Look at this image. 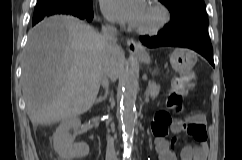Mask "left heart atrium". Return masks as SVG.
<instances>
[{"mask_svg": "<svg viewBox=\"0 0 242 160\" xmlns=\"http://www.w3.org/2000/svg\"><path fill=\"white\" fill-rule=\"evenodd\" d=\"M145 3V0H101V7L110 20L137 26Z\"/></svg>", "mask_w": 242, "mask_h": 160, "instance_id": "39dd6f15", "label": "left heart atrium"}]
</instances>
